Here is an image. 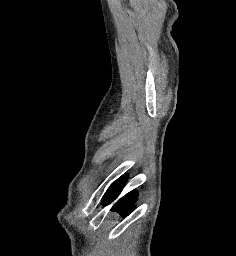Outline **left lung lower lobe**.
Listing matches in <instances>:
<instances>
[{
  "mask_svg": "<svg viewBox=\"0 0 236 256\" xmlns=\"http://www.w3.org/2000/svg\"><path fill=\"white\" fill-rule=\"evenodd\" d=\"M126 181V177L122 176L116 181H114L110 187L107 189L106 193L102 198V204L105 206L113 201L118 194L121 192ZM137 197V193L135 191H131L122 197L112 208V211L119 212L122 216L129 215L133 210V203L135 202Z\"/></svg>",
  "mask_w": 236,
  "mask_h": 256,
  "instance_id": "0a47b994",
  "label": "left lung lower lobe"
}]
</instances>
